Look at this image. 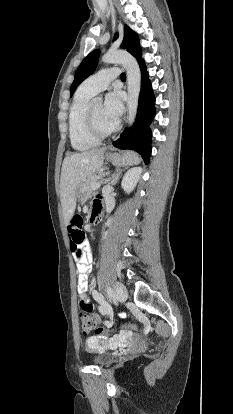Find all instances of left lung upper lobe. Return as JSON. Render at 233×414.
I'll list each match as a JSON object with an SVG mask.
<instances>
[{
    "mask_svg": "<svg viewBox=\"0 0 233 414\" xmlns=\"http://www.w3.org/2000/svg\"><path fill=\"white\" fill-rule=\"evenodd\" d=\"M117 37L118 34H115L114 40L117 39ZM121 47L127 49V51L132 54L138 62L142 59L138 36L127 25L124 27V39L122 41ZM99 53V50H94L82 61L78 67L71 86V96L77 86L94 72L99 59Z\"/></svg>",
    "mask_w": 233,
    "mask_h": 414,
    "instance_id": "obj_1",
    "label": "left lung upper lobe"
}]
</instances>
